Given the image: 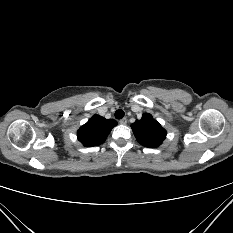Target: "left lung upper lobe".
I'll list each match as a JSON object with an SVG mask.
<instances>
[{
  "instance_id": "1",
  "label": "left lung upper lobe",
  "mask_w": 233,
  "mask_h": 233,
  "mask_svg": "<svg viewBox=\"0 0 233 233\" xmlns=\"http://www.w3.org/2000/svg\"><path fill=\"white\" fill-rule=\"evenodd\" d=\"M131 127L138 142L145 147L156 148L166 138V130L148 113H144L141 120H136Z\"/></svg>"
}]
</instances>
